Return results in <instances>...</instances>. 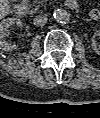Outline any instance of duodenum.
I'll list each match as a JSON object with an SVG mask.
<instances>
[{
    "label": "duodenum",
    "instance_id": "obj_1",
    "mask_svg": "<svg viewBox=\"0 0 100 118\" xmlns=\"http://www.w3.org/2000/svg\"><path fill=\"white\" fill-rule=\"evenodd\" d=\"M67 6L71 9H77V0H67ZM28 5L25 0H19L15 6V13L17 16L22 17L27 13Z\"/></svg>",
    "mask_w": 100,
    "mask_h": 118
}]
</instances>
